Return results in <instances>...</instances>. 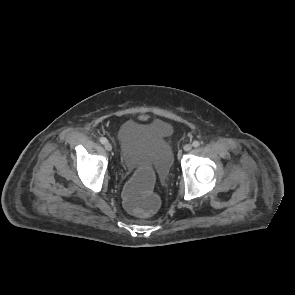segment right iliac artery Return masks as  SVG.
I'll list each match as a JSON object with an SVG mask.
<instances>
[{
    "instance_id": "obj_1",
    "label": "right iliac artery",
    "mask_w": 295,
    "mask_h": 295,
    "mask_svg": "<svg viewBox=\"0 0 295 295\" xmlns=\"http://www.w3.org/2000/svg\"><path fill=\"white\" fill-rule=\"evenodd\" d=\"M100 142H101L102 144H105V143H107V139H106L105 137H101V138H100Z\"/></svg>"
}]
</instances>
